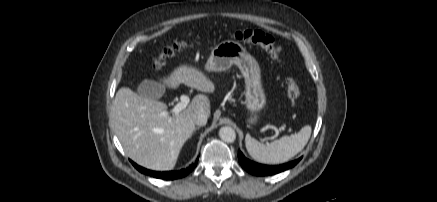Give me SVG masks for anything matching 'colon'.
Instances as JSON below:
<instances>
[{
    "instance_id": "5ec220e1",
    "label": "colon",
    "mask_w": 437,
    "mask_h": 202,
    "mask_svg": "<svg viewBox=\"0 0 437 202\" xmlns=\"http://www.w3.org/2000/svg\"><path fill=\"white\" fill-rule=\"evenodd\" d=\"M232 38L242 43L258 45L264 49L271 56V58L275 60L281 59V47L276 43L272 35L261 30H239L232 34ZM186 45V42L183 41L166 45L153 60V68L156 70L161 69L165 64L166 59L175 55V53L185 48ZM286 86L287 98L292 104H295L300 97V88L297 80L294 77H288L286 80Z\"/></svg>"
}]
</instances>
